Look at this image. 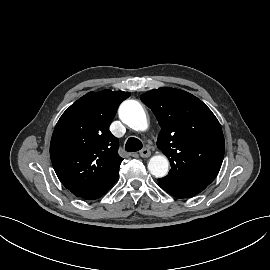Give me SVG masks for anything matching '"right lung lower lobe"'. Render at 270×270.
<instances>
[{"instance_id": "98d812e1", "label": "right lung lower lobe", "mask_w": 270, "mask_h": 270, "mask_svg": "<svg viewBox=\"0 0 270 270\" xmlns=\"http://www.w3.org/2000/svg\"><path fill=\"white\" fill-rule=\"evenodd\" d=\"M111 186H109V187H107V188H105V189H103V190H101L99 192L92 193V194H87L85 196H82V198L87 199V200L97 199V198L101 197L102 195H104L111 188Z\"/></svg>"}]
</instances>
